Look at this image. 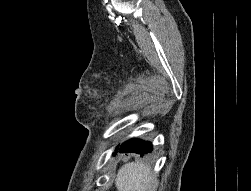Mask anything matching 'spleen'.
Returning <instances> with one entry per match:
<instances>
[{
  "mask_svg": "<svg viewBox=\"0 0 251 191\" xmlns=\"http://www.w3.org/2000/svg\"><path fill=\"white\" fill-rule=\"evenodd\" d=\"M152 179L149 165L143 161H128L118 169L115 185L118 191H147Z\"/></svg>",
  "mask_w": 251,
  "mask_h": 191,
  "instance_id": "obj_1",
  "label": "spleen"
}]
</instances>
